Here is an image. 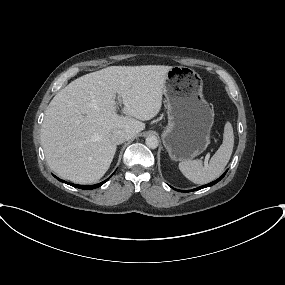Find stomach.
Wrapping results in <instances>:
<instances>
[{
	"instance_id": "obj_1",
	"label": "stomach",
	"mask_w": 285,
	"mask_h": 285,
	"mask_svg": "<svg viewBox=\"0 0 285 285\" xmlns=\"http://www.w3.org/2000/svg\"><path fill=\"white\" fill-rule=\"evenodd\" d=\"M202 89L200 75L190 68L174 66L166 74L163 94L168 125L162 132V141L173 161H189L210 143L214 112Z\"/></svg>"
}]
</instances>
